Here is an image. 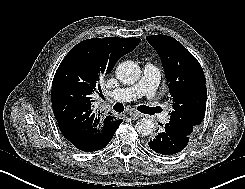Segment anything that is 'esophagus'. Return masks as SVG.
Returning a JSON list of instances; mask_svg holds the SVG:
<instances>
[{
  "label": "esophagus",
  "instance_id": "1",
  "mask_svg": "<svg viewBox=\"0 0 245 189\" xmlns=\"http://www.w3.org/2000/svg\"><path fill=\"white\" fill-rule=\"evenodd\" d=\"M128 115H129V117H130L131 119H133V120H136V119H138V118H140V117L142 116L139 112H137V111H135V110H131V111L128 113Z\"/></svg>",
  "mask_w": 245,
  "mask_h": 189
}]
</instances>
